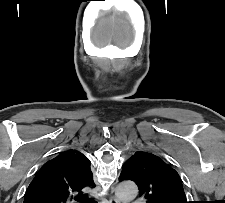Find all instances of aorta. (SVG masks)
I'll use <instances>...</instances> for the list:
<instances>
[{"label":"aorta","mask_w":225,"mask_h":203,"mask_svg":"<svg viewBox=\"0 0 225 203\" xmlns=\"http://www.w3.org/2000/svg\"><path fill=\"white\" fill-rule=\"evenodd\" d=\"M137 194V185L132 181L121 182L115 189L116 197L123 203L130 202L137 196Z\"/></svg>","instance_id":"762f6f07"}]
</instances>
